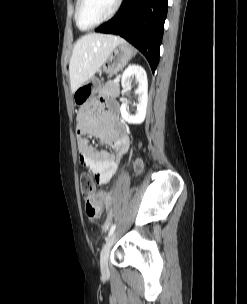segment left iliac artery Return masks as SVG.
<instances>
[{
  "mask_svg": "<svg viewBox=\"0 0 247 304\" xmlns=\"http://www.w3.org/2000/svg\"><path fill=\"white\" fill-rule=\"evenodd\" d=\"M115 228H116V224H113L109 230L108 238L113 234V232L115 231Z\"/></svg>",
  "mask_w": 247,
  "mask_h": 304,
  "instance_id": "1",
  "label": "left iliac artery"
}]
</instances>
